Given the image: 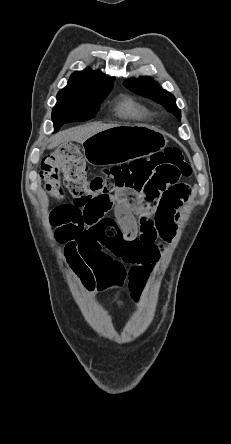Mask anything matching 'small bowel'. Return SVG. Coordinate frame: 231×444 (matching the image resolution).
I'll use <instances>...</instances> for the list:
<instances>
[{
    "label": "small bowel",
    "instance_id": "c3829d8e",
    "mask_svg": "<svg viewBox=\"0 0 231 444\" xmlns=\"http://www.w3.org/2000/svg\"><path fill=\"white\" fill-rule=\"evenodd\" d=\"M189 194L186 184L156 183L140 192L74 200L61 205L68 220L56 228V238L65 244L66 253L80 258L73 270L89 291L127 281L130 290L138 293L160 256L158 240H172ZM111 211L115 218L108 216ZM125 264L131 267L126 269Z\"/></svg>",
    "mask_w": 231,
    "mask_h": 444
}]
</instances>
